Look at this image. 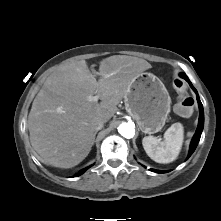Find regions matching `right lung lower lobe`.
<instances>
[{
	"label": "right lung lower lobe",
	"mask_w": 221,
	"mask_h": 221,
	"mask_svg": "<svg viewBox=\"0 0 221 221\" xmlns=\"http://www.w3.org/2000/svg\"><path fill=\"white\" fill-rule=\"evenodd\" d=\"M86 169H87V168H85L84 170H81L79 173H77V174L75 175V177H76V176H79V175H81V174H83V173L86 171ZM73 177H74V176H73Z\"/></svg>",
	"instance_id": "right-lung-lower-lobe-1"
}]
</instances>
